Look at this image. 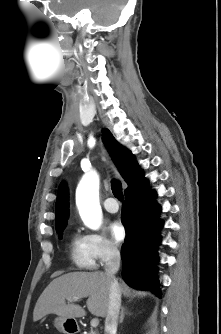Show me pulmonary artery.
<instances>
[{
    "mask_svg": "<svg viewBox=\"0 0 221 334\" xmlns=\"http://www.w3.org/2000/svg\"><path fill=\"white\" fill-rule=\"evenodd\" d=\"M103 205L105 210L109 213H116L119 210V205L113 197H108Z\"/></svg>",
    "mask_w": 221,
    "mask_h": 334,
    "instance_id": "pulmonary-artery-1",
    "label": "pulmonary artery"
}]
</instances>
